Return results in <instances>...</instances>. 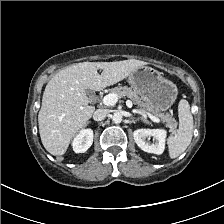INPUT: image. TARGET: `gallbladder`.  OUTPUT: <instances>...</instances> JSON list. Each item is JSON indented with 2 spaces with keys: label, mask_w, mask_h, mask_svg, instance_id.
Wrapping results in <instances>:
<instances>
[{
  "label": "gallbladder",
  "mask_w": 224,
  "mask_h": 224,
  "mask_svg": "<svg viewBox=\"0 0 224 224\" xmlns=\"http://www.w3.org/2000/svg\"><path fill=\"white\" fill-rule=\"evenodd\" d=\"M87 93H88L89 96L93 95V92L90 89H87Z\"/></svg>",
  "instance_id": "gallbladder-1"
}]
</instances>
